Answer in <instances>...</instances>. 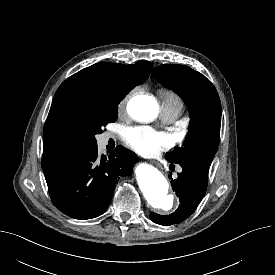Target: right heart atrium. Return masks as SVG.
Segmentation results:
<instances>
[{
    "label": "right heart atrium",
    "mask_w": 275,
    "mask_h": 275,
    "mask_svg": "<svg viewBox=\"0 0 275 275\" xmlns=\"http://www.w3.org/2000/svg\"><path fill=\"white\" fill-rule=\"evenodd\" d=\"M129 97H130V93L125 95L123 97V99L120 101L119 106H118L120 111L124 110V108L126 107Z\"/></svg>",
    "instance_id": "1"
}]
</instances>
